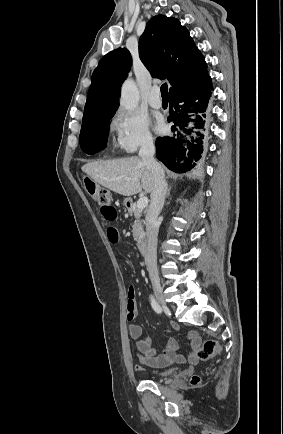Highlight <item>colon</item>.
I'll return each instance as SVG.
<instances>
[{"instance_id":"obj_1","label":"colon","mask_w":283,"mask_h":434,"mask_svg":"<svg viewBox=\"0 0 283 434\" xmlns=\"http://www.w3.org/2000/svg\"><path fill=\"white\" fill-rule=\"evenodd\" d=\"M85 186L92 197V199L97 202L100 206H106L111 204V194L110 192L102 186L97 185L90 179L85 180ZM219 353V345L215 340H206L197 350V357L200 360H208L213 358ZM200 383V378L198 376H193L191 379V384L197 385Z\"/></svg>"}]
</instances>
